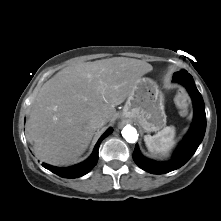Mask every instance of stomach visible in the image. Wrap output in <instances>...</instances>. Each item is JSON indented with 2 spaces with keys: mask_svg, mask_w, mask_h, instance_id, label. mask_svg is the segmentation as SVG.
<instances>
[{
  "mask_svg": "<svg viewBox=\"0 0 221 221\" xmlns=\"http://www.w3.org/2000/svg\"><path fill=\"white\" fill-rule=\"evenodd\" d=\"M123 116L137 122L145 132H156L166 125L164 97L156 82L140 79L127 98Z\"/></svg>",
  "mask_w": 221,
  "mask_h": 221,
  "instance_id": "stomach-1",
  "label": "stomach"
}]
</instances>
